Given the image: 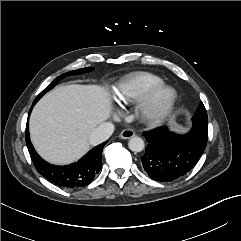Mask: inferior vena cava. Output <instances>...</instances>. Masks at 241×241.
I'll return each instance as SVG.
<instances>
[{
  "label": "inferior vena cava",
  "mask_w": 241,
  "mask_h": 241,
  "mask_svg": "<svg viewBox=\"0 0 241 241\" xmlns=\"http://www.w3.org/2000/svg\"><path fill=\"white\" fill-rule=\"evenodd\" d=\"M114 125L111 122H104L94 129L89 135V143L93 146L106 141L114 132Z\"/></svg>",
  "instance_id": "obj_1"
}]
</instances>
